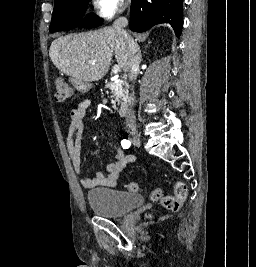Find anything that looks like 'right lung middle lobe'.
Listing matches in <instances>:
<instances>
[{"instance_id": "obj_1", "label": "right lung middle lobe", "mask_w": 256, "mask_h": 267, "mask_svg": "<svg viewBox=\"0 0 256 267\" xmlns=\"http://www.w3.org/2000/svg\"><path fill=\"white\" fill-rule=\"evenodd\" d=\"M91 0H58L55 2L50 32L70 30L74 27L93 28L100 25V18L93 13L80 20ZM80 20V21H79Z\"/></svg>"}]
</instances>
